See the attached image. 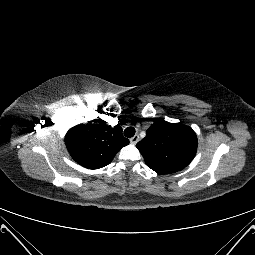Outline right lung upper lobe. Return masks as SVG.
<instances>
[{"instance_id": "cb5924a9", "label": "right lung upper lobe", "mask_w": 255, "mask_h": 255, "mask_svg": "<svg viewBox=\"0 0 255 255\" xmlns=\"http://www.w3.org/2000/svg\"><path fill=\"white\" fill-rule=\"evenodd\" d=\"M95 119L89 124H80L71 128L65 143L72 158L83 167L99 169L108 165L116 153L129 144L122 135V128L103 124Z\"/></svg>"}]
</instances>
